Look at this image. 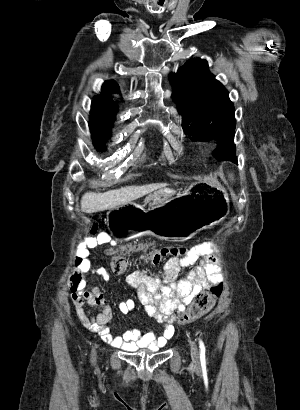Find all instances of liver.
I'll use <instances>...</instances> for the list:
<instances>
[{"instance_id":"liver-1","label":"liver","mask_w":300,"mask_h":410,"mask_svg":"<svg viewBox=\"0 0 300 410\" xmlns=\"http://www.w3.org/2000/svg\"><path fill=\"white\" fill-rule=\"evenodd\" d=\"M164 186L165 184H149L144 186H127L104 193L87 192L82 196L81 209L87 213L109 210L136 200Z\"/></svg>"}]
</instances>
